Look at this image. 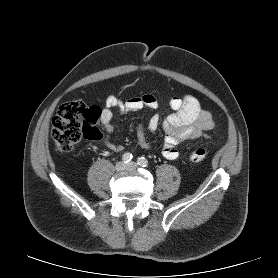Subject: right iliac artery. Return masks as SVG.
I'll return each instance as SVG.
<instances>
[{"label":"right iliac artery","instance_id":"82829eb1","mask_svg":"<svg viewBox=\"0 0 278 278\" xmlns=\"http://www.w3.org/2000/svg\"><path fill=\"white\" fill-rule=\"evenodd\" d=\"M132 159H133V156H132V154L131 153H125V154H123V156H122V160H123V162L124 163H130L131 161H132Z\"/></svg>","mask_w":278,"mask_h":278}]
</instances>
